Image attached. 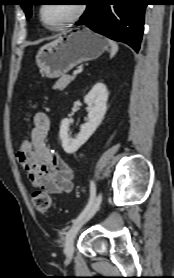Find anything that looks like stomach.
Instances as JSON below:
<instances>
[{
    "instance_id": "obj_1",
    "label": "stomach",
    "mask_w": 174,
    "mask_h": 278,
    "mask_svg": "<svg viewBox=\"0 0 174 278\" xmlns=\"http://www.w3.org/2000/svg\"><path fill=\"white\" fill-rule=\"evenodd\" d=\"M107 49L108 42L103 36L83 27L43 46L35 60L40 73L54 79L83 62L96 59Z\"/></svg>"
}]
</instances>
